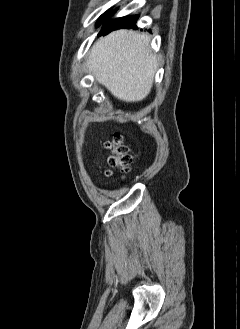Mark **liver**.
I'll list each match as a JSON object with an SVG mask.
<instances>
[{
  "label": "liver",
  "instance_id": "1",
  "mask_svg": "<svg viewBox=\"0 0 240 329\" xmlns=\"http://www.w3.org/2000/svg\"><path fill=\"white\" fill-rule=\"evenodd\" d=\"M149 43L148 34L114 31L94 44L87 70L119 100L141 101L150 93L157 70Z\"/></svg>",
  "mask_w": 240,
  "mask_h": 329
}]
</instances>
